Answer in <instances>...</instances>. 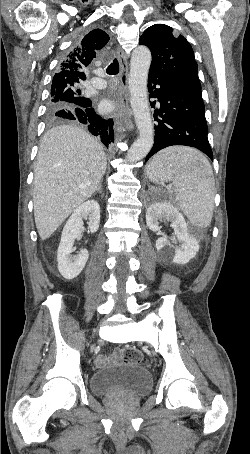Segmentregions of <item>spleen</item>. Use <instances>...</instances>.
Segmentation results:
<instances>
[{
    "label": "spleen",
    "mask_w": 250,
    "mask_h": 454,
    "mask_svg": "<svg viewBox=\"0 0 250 454\" xmlns=\"http://www.w3.org/2000/svg\"><path fill=\"white\" fill-rule=\"evenodd\" d=\"M147 175L154 183L171 181L177 203L189 221L207 228L213 217L215 181L211 165L198 150L168 147L150 160Z\"/></svg>",
    "instance_id": "obj_1"
}]
</instances>
